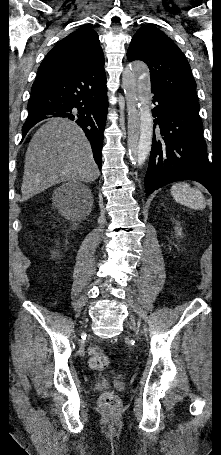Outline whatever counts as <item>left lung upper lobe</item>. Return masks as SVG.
<instances>
[{
  "mask_svg": "<svg viewBox=\"0 0 221 455\" xmlns=\"http://www.w3.org/2000/svg\"><path fill=\"white\" fill-rule=\"evenodd\" d=\"M127 58L129 61L142 60L148 65L152 88L199 110L196 83L189 63L178 46L161 30L152 25L139 28L132 38Z\"/></svg>",
  "mask_w": 221,
  "mask_h": 455,
  "instance_id": "obj_1",
  "label": "left lung upper lobe"
}]
</instances>
